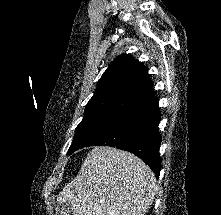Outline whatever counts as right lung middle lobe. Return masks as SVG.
Masks as SVG:
<instances>
[{
    "instance_id": "1",
    "label": "right lung middle lobe",
    "mask_w": 221,
    "mask_h": 215,
    "mask_svg": "<svg viewBox=\"0 0 221 215\" xmlns=\"http://www.w3.org/2000/svg\"><path fill=\"white\" fill-rule=\"evenodd\" d=\"M121 117L104 113H85L76 128V135L68 150V155L84 147L87 143L105 132Z\"/></svg>"
}]
</instances>
